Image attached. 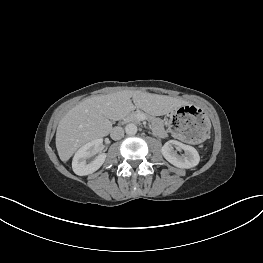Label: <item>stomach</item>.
Returning a JSON list of instances; mask_svg holds the SVG:
<instances>
[{
    "instance_id": "1",
    "label": "stomach",
    "mask_w": 263,
    "mask_h": 263,
    "mask_svg": "<svg viewBox=\"0 0 263 263\" xmlns=\"http://www.w3.org/2000/svg\"><path fill=\"white\" fill-rule=\"evenodd\" d=\"M173 134L184 143L198 146L205 143L212 132V124L203 109L189 105L177 109L170 120Z\"/></svg>"
}]
</instances>
